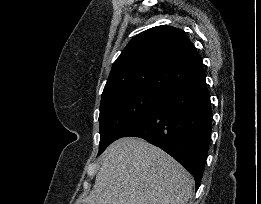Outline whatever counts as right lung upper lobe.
<instances>
[{
    "label": "right lung upper lobe",
    "instance_id": "right-lung-upper-lobe-1",
    "mask_svg": "<svg viewBox=\"0 0 261 204\" xmlns=\"http://www.w3.org/2000/svg\"><path fill=\"white\" fill-rule=\"evenodd\" d=\"M202 67L183 30L156 26L135 36L116 59L102 98L124 90L167 92Z\"/></svg>",
    "mask_w": 261,
    "mask_h": 204
}]
</instances>
